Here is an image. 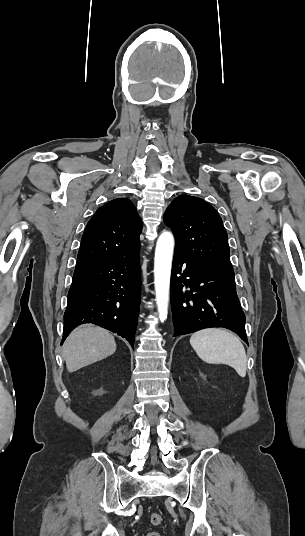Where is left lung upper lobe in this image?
Returning <instances> with one entry per match:
<instances>
[{
	"instance_id": "1",
	"label": "left lung upper lobe",
	"mask_w": 305,
	"mask_h": 536,
	"mask_svg": "<svg viewBox=\"0 0 305 536\" xmlns=\"http://www.w3.org/2000/svg\"><path fill=\"white\" fill-rule=\"evenodd\" d=\"M164 223L172 229L176 253L202 264L233 270L222 219L205 200L178 196L165 211Z\"/></svg>"
}]
</instances>
